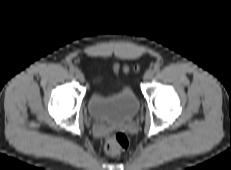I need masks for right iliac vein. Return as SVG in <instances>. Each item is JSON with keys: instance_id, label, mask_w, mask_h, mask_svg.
<instances>
[{"instance_id": "right-iliac-vein-1", "label": "right iliac vein", "mask_w": 231, "mask_h": 170, "mask_svg": "<svg viewBox=\"0 0 231 170\" xmlns=\"http://www.w3.org/2000/svg\"><path fill=\"white\" fill-rule=\"evenodd\" d=\"M75 77L80 81V82H84L85 77L83 75V73L79 70L75 71Z\"/></svg>"}]
</instances>
